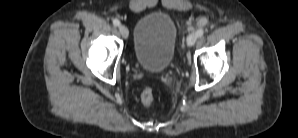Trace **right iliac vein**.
<instances>
[{
	"instance_id": "1",
	"label": "right iliac vein",
	"mask_w": 298,
	"mask_h": 138,
	"mask_svg": "<svg viewBox=\"0 0 298 138\" xmlns=\"http://www.w3.org/2000/svg\"><path fill=\"white\" fill-rule=\"evenodd\" d=\"M119 32H120V34L122 35L123 38L128 37L129 31H128V28L126 26L120 25L119 26Z\"/></svg>"
}]
</instances>
